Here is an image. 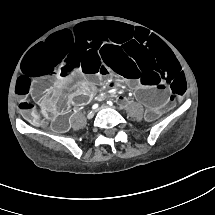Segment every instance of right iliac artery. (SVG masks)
<instances>
[{"mask_svg": "<svg viewBox=\"0 0 215 215\" xmlns=\"http://www.w3.org/2000/svg\"><path fill=\"white\" fill-rule=\"evenodd\" d=\"M97 107H98V104H94L92 108L96 109Z\"/></svg>", "mask_w": 215, "mask_h": 215, "instance_id": "right-iliac-artery-1", "label": "right iliac artery"}]
</instances>
